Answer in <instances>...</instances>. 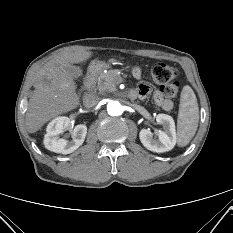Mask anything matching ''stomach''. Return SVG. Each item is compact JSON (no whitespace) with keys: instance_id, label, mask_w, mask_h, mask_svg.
Returning a JSON list of instances; mask_svg holds the SVG:
<instances>
[{"instance_id":"0dacf381","label":"stomach","mask_w":233,"mask_h":233,"mask_svg":"<svg viewBox=\"0 0 233 233\" xmlns=\"http://www.w3.org/2000/svg\"><path fill=\"white\" fill-rule=\"evenodd\" d=\"M103 67H104V62L98 59L93 60L90 64V68L93 70H99L102 69Z\"/></svg>"}]
</instances>
